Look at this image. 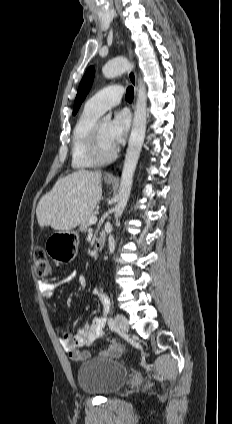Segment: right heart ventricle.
Listing matches in <instances>:
<instances>
[{
    "label": "right heart ventricle",
    "instance_id": "obj_1",
    "mask_svg": "<svg viewBox=\"0 0 232 424\" xmlns=\"http://www.w3.org/2000/svg\"><path fill=\"white\" fill-rule=\"evenodd\" d=\"M99 115L85 107L74 126L71 144V165L74 169L82 170L98 165L88 155V143Z\"/></svg>",
    "mask_w": 232,
    "mask_h": 424
}]
</instances>
